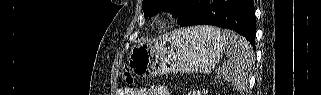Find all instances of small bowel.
<instances>
[{"label": "small bowel", "mask_w": 321, "mask_h": 95, "mask_svg": "<svg viewBox=\"0 0 321 95\" xmlns=\"http://www.w3.org/2000/svg\"><path fill=\"white\" fill-rule=\"evenodd\" d=\"M124 91L127 95H171L168 88L163 85H154L150 89H139L137 91L128 88Z\"/></svg>", "instance_id": "small-bowel-1"}]
</instances>
